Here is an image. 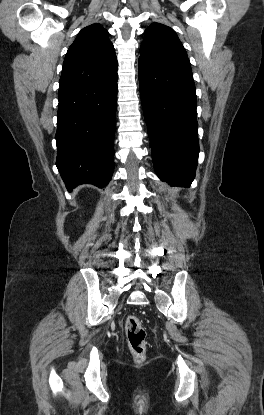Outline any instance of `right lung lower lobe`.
Returning <instances> with one entry per match:
<instances>
[{
  "instance_id": "right-lung-lower-lobe-1",
  "label": "right lung lower lobe",
  "mask_w": 264,
  "mask_h": 415,
  "mask_svg": "<svg viewBox=\"0 0 264 415\" xmlns=\"http://www.w3.org/2000/svg\"><path fill=\"white\" fill-rule=\"evenodd\" d=\"M117 77L59 89L56 166L69 190L83 183L103 188L111 180Z\"/></svg>"
}]
</instances>
